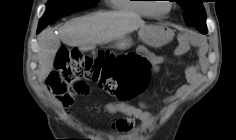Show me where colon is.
I'll return each mask as SVG.
<instances>
[{
	"mask_svg": "<svg viewBox=\"0 0 236 140\" xmlns=\"http://www.w3.org/2000/svg\"><path fill=\"white\" fill-rule=\"evenodd\" d=\"M150 72V63L141 56L102 51L91 57L77 48H61L47 84L62 102L87 94V82L97 83L119 101H126L145 90Z\"/></svg>",
	"mask_w": 236,
	"mask_h": 140,
	"instance_id": "colon-1",
	"label": "colon"
}]
</instances>
